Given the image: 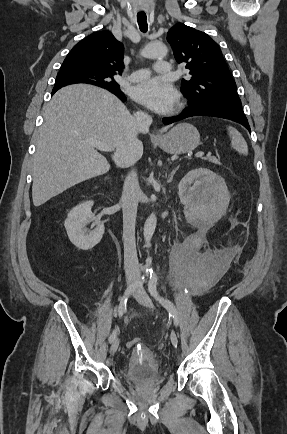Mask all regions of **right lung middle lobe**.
<instances>
[{"label": "right lung middle lobe", "instance_id": "obj_1", "mask_svg": "<svg viewBox=\"0 0 287 434\" xmlns=\"http://www.w3.org/2000/svg\"><path fill=\"white\" fill-rule=\"evenodd\" d=\"M86 83L96 85L109 90L120 92L119 85L113 79V75L97 73L83 69H61L56 77L55 85Z\"/></svg>", "mask_w": 287, "mask_h": 434}]
</instances>
